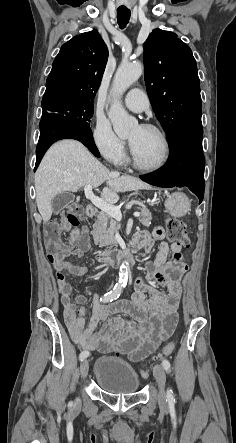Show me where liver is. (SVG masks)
Returning <instances> with one entry per match:
<instances>
[{
    "label": "liver",
    "mask_w": 236,
    "mask_h": 443,
    "mask_svg": "<svg viewBox=\"0 0 236 443\" xmlns=\"http://www.w3.org/2000/svg\"><path fill=\"white\" fill-rule=\"evenodd\" d=\"M106 182L101 197L108 204L119 200V193L150 189L140 180L111 172L76 140L52 145L35 173L36 203L43 222L52 215V199L59 193L77 192L81 187H98Z\"/></svg>",
    "instance_id": "1"
}]
</instances>
